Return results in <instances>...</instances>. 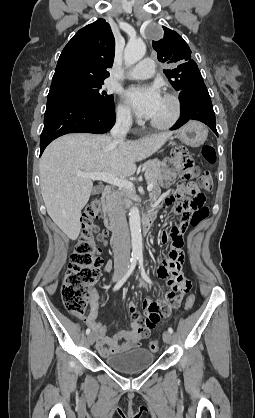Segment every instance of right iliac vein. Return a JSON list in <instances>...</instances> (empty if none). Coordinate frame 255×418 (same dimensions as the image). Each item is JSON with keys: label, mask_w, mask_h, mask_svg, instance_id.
Returning <instances> with one entry per match:
<instances>
[{"label": "right iliac vein", "mask_w": 255, "mask_h": 418, "mask_svg": "<svg viewBox=\"0 0 255 418\" xmlns=\"http://www.w3.org/2000/svg\"><path fill=\"white\" fill-rule=\"evenodd\" d=\"M125 271H126L125 267H122V266L117 267L113 274V281H119L124 276ZM87 340H88L89 345H93L95 342L94 334L93 333L89 334L87 337Z\"/></svg>", "instance_id": "63e3f726"}]
</instances>
